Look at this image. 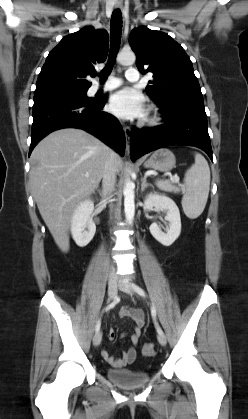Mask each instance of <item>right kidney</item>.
<instances>
[{"label": "right kidney", "mask_w": 248, "mask_h": 419, "mask_svg": "<svg viewBox=\"0 0 248 419\" xmlns=\"http://www.w3.org/2000/svg\"><path fill=\"white\" fill-rule=\"evenodd\" d=\"M93 210L94 203L92 200L81 202L74 210L71 220V233L79 247L86 246L95 235L96 226L91 217Z\"/></svg>", "instance_id": "ca27d5eb"}]
</instances>
